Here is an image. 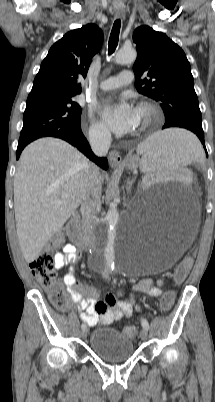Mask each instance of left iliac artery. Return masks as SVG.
<instances>
[{"instance_id":"left-iliac-artery-1","label":"left iliac artery","mask_w":215,"mask_h":402,"mask_svg":"<svg viewBox=\"0 0 215 402\" xmlns=\"http://www.w3.org/2000/svg\"><path fill=\"white\" fill-rule=\"evenodd\" d=\"M141 324H142V327H143L144 329H146V330L149 329V323H148V321H147L145 318H142V319H141Z\"/></svg>"}]
</instances>
